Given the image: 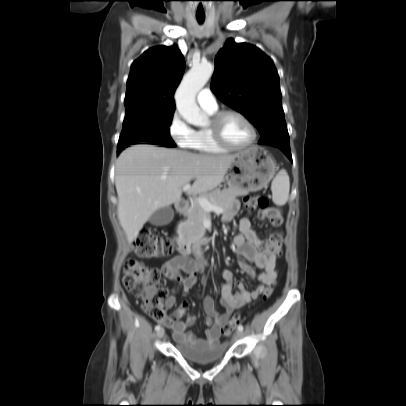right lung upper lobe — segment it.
I'll return each instance as SVG.
<instances>
[{
	"label": "right lung upper lobe",
	"mask_w": 406,
	"mask_h": 406,
	"mask_svg": "<svg viewBox=\"0 0 406 406\" xmlns=\"http://www.w3.org/2000/svg\"><path fill=\"white\" fill-rule=\"evenodd\" d=\"M185 69L176 45L156 46L132 63L127 80L125 108L175 110L174 92Z\"/></svg>",
	"instance_id": "right-lung-upper-lobe-1"
}]
</instances>
